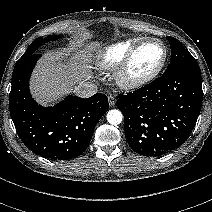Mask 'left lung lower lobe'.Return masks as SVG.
Masks as SVG:
<instances>
[{
    "mask_svg": "<svg viewBox=\"0 0 212 212\" xmlns=\"http://www.w3.org/2000/svg\"><path fill=\"white\" fill-rule=\"evenodd\" d=\"M119 96L130 147L144 156H161L182 145L194 128L203 99L200 70L180 68Z\"/></svg>",
    "mask_w": 212,
    "mask_h": 212,
    "instance_id": "1",
    "label": "left lung lower lobe"
}]
</instances>
